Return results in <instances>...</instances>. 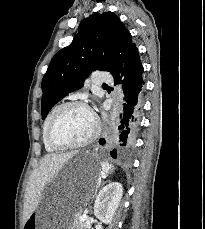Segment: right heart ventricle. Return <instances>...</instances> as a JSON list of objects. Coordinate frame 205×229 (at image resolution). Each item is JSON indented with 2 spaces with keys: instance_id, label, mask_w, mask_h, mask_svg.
I'll return each instance as SVG.
<instances>
[{
  "instance_id": "right-heart-ventricle-1",
  "label": "right heart ventricle",
  "mask_w": 205,
  "mask_h": 229,
  "mask_svg": "<svg viewBox=\"0 0 205 229\" xmlns=\"http://www.w3.org/2000/svg\"><path fill=\"white\" fill-rule=\"evenodd\" d=\"M59 105H55L48 113L47 117L45 118L43 125H42V140L44 147L47 152H54L57 149L53 148L47 141V129L49 126V123L51 121L52 116L54 115L55 111L58 109Z\"/></svg>"
}]
</instances>
